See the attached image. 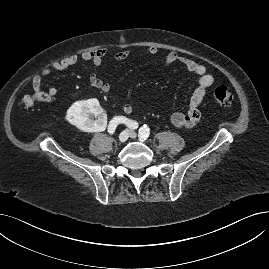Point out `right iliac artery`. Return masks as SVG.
<instances>
[{"label":"right iliac artery","instance_id":"right-iliac-artery-1","mask_svg":"<svg viewBox=\"0 0 269 269\" xmlns=\"http://www.w3.org/2000/svg\"><path fill=\"white\" fill-rule=\"evenodd\" d=\"M119 123L126 124V126H128V128H130V129H137L138 128V123L136 121L128 120L125 117H118V118L113 119L110 122V124L108 126V132L110 134H113Z\"/></svg>","mask_w":269,"mask_h":269}]
</instances>
